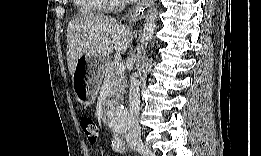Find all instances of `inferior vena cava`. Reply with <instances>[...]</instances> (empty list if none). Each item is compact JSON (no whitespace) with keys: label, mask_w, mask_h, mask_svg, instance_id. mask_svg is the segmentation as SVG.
Returning a JSON list of instances; mask_svg holds the SVG:
<instances>
[{"label":"inferior vena cava","mask_w":261,"mask_h":156,"mask_svg":"<svg viewBox=\"0 0 261 156\" xmlns=\"http://www.w3.org/2000/svg\"><path fill=\"white\" fill-rule=\"evenodd\" d=\"M123 9L120 7L118 11ZM139 105H140V89L139 81L135 75L130 77V91H129V112L131 116V128L126 134V141L129 145H141V128L139 125Z\"/></svg>","instance_id":"inferior-vena-cava-1"}]
</instances>
